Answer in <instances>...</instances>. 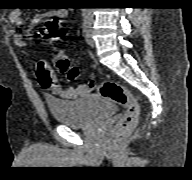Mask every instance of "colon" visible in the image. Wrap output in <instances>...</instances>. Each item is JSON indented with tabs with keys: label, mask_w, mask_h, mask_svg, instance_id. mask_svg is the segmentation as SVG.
Returning <instances> with one entry per match:
<instances>
[{
	"label": "colon",
	"mask_w": 192,
	"mask_h": 180,
	"mask_svg": "<svg viewBox=\"0 0 192 180\" xmlns=\"http://www.w3.org/2000/svg\"><path fill=\"white\" fill-rule=\"evenodd\" d=\"M38 36L46 41H58L63 39L64 34L54 22H47L41 27ZM54 64L60 72L67 75L69 80L73 81L79 77L78 68L71 64L69 58L64 53L59 52L54 56ZM89 87L96 89L101 96L126 109L125 114L115 127L112 136L113 141H117L136 126L140 116V104L135 95L127 87L112 80H106L100 83L91 80Z\"/></svg>",
	"instance_id": "obj_1"
}]
</instances>
